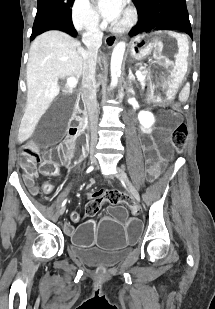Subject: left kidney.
<instances>
[{"label": "left kidney", "mask_w": 215, "mask_h": 309, "mask_svg": "<svg viewBox=\"0 0 215 309\" xmlns=\"http://www.w3.org/2000/svg\"><path fill=\"white\" fill-rule=\"evenodd\" d=\"M138 120L140 124H142V128H150L155 122V116L153 112H149V110H140Z\"/></svg>", "instance_id": "obj_1"}]
</instances>
